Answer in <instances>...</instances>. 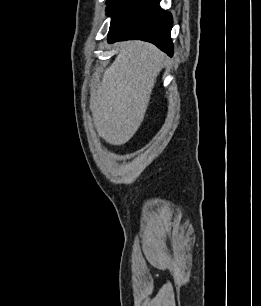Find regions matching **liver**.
I'll return each instance as SVG.
<instances>
[{"instance_id":"6515ba94","label":"liver","mask_w":261,"mask_h":306,"mask_svg":"<svg viewBox=\"0 0 261 306\" xmlns=\"http://www.w3.org/2000/svg\"><path fill=\"white\" fill-rule=\"evenodd\" d=\"M119 47L90 103L97 133L111 145L125 144L140 127L164 62L150 43L125 41Z\"/></svg>"}]
</instances>
